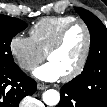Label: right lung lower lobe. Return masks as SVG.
<instances>
[{"instance_id": "obj_1", "label": "right lung lower lobe", "mask_w": 107, "mask_h": 107, "mask_svg": "<svg viewBox=\"0 0 107 107\" xmlns=\"http://www.w3.org/2000/svg\"><path fill=\"white\" fill-rule=\"evenodd\" d=\"M36 82L17 65L0 69V107H18L20 100L36 91Z\"/></svg>"}]
</instances>
